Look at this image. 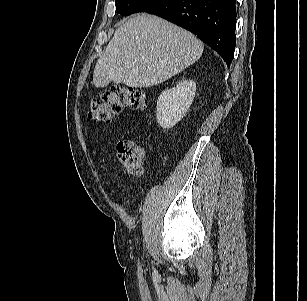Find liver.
<instances>
[{"instance_id": "obj_1", "label": "liver", "mask_w": 307, "mask_h": 301, "mask_svg": "<svg viewBox=\"0 0 307 301\" xmlns=\"http://www.w3.org/2000/svg\"><path fill=\"white\" fill-rule=\"evenodd\" d=\"M203 50L191 32L160 17L137 14L115 31L95 65L93 83L98 88L112 81L151 87L193 64Z\"/></svg>"}]
</instances>
